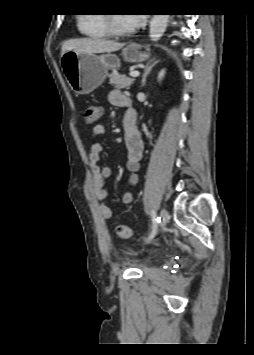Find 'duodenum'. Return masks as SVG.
Instances as JSON below:
<instances>
[{
    "label": "duodenum",
    "mask_w": 254,
    "mask_h": 355,
    "mask_svg": "<svg viewBox=\"0 0 254 355\" xmlns=\"http://www.w3.org/2000/svg\"><path fill=\"white\" fill-rule=\"evenodd\" d=\"M135 126H136V121L134 119H128L126 121L125 127L127 130H131L135 128Z\"/></svg>",
    "instance_id": "1"
}]
</instances>
